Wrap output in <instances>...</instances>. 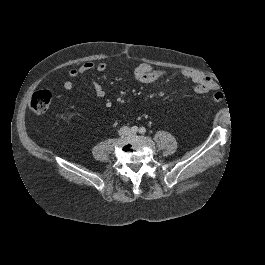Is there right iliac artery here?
Segmentation results:
<instances>
[{"label": "right iliac artery", "instance_id": "82829eb1", "mask_svg": "<svg viewBox=\"0 0 265 265\" xmlns=\"http://www.w3.org/2000/svg\"><path fill=\"white\" fill-rule=\"evenodd\" d=\"M131 131L136 133V132L138 131V127H137V126H133V127L131 128Z\"/></svg>", "mask_w": 265, "mask_h": 265}]
</instances>
